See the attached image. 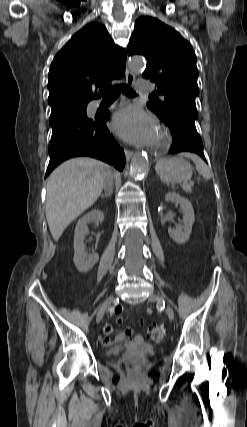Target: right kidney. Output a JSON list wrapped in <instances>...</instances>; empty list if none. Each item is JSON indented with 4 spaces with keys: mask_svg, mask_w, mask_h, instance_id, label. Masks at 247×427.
<instances>
[{
    "mask_svg": "<svg viewBox=\"0 0 247 427\" xmlns=\"http://www.w3.org/2000/svg\"><path fill=\"white\" fill-rule=\"evenodd\" d=\"M91 220L103 222L104 213L100 210H92L79 219L75 227L73 260L77 270L81 273L88 272L99 260L97 253L87 255L84 250L83 241L88 234L87 223Z\"/></svg>",
    "mask_w": 247,
    "mask_h": 427,
    "instance_id": "obj_1",
    "label": "right kidney"
}]
</instances>
